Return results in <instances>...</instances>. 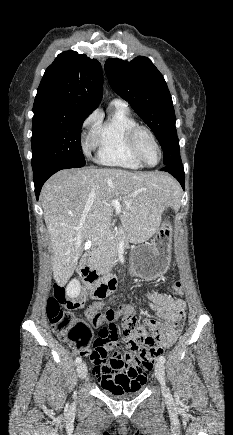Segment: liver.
I'll return each instance as SVG.
<instances>
[{
	"label": "liver",
	"instance_id": "1",
	"mask_svg": "<svg viewBox=\"0 0 233 435\" xmlns=\"http://www.w3.org/2000/svg\"><path fill=\"white\" fill-rule=\"evenodd\" d=\"M182 194L178 182L162 172L121 169H68L43 186L40 201L52 248L54 279L65 283L73 275L85 240L110 237L114 210L121 216L127 239L149 240L169 206L177 207ZM122 201L119 207L110 203Z\"/></svg>",
	"mask_w": 233,
	"mask_h": 435
}]
</instances>
